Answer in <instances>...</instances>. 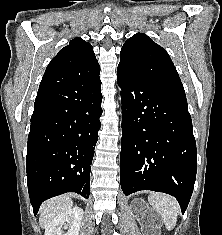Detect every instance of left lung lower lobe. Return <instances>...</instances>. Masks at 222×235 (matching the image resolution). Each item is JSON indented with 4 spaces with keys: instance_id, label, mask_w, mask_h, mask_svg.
Masks as SVG:
<instances>
[{
    "instance_id": "left-lung-lower-lobe-1",
    "label": "left lung lower lobe",
    "mask_w": 222,
    "mask_h": 235,
    "mask_svg": "<svg viewBox=\"0 0 222 235\" xmlns=\"http://www.w3.org/2000/svg\"><path fill=\"white\" fill-rule=\"evenodd\" d=\"M122 98L121 188L174 196L182 213L197 170L196 142L186 96L118 66Z\"/></svg>"
}]
</instances>
